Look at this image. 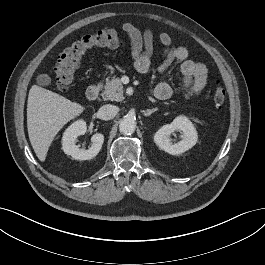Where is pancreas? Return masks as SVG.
<instances>
[{
    "label": "pancreas",
    "instance_id": "pancreas-1",
    "mask_svg": "<svg viewBox=\"0 0 265 265\" xmlns=\"http://www.w3.org/2000/svg\"><path fill=\"white\" fill-rule=\"evenodd\" d=\"M102 97L105 100L111 101H122L124 99L123 96V85L120 78L112 77L111 80L106 82L104 86V91L102 93Z\"/></svg>",
    "mask_w": 265,
    "mask_h": 265
}]
</instances>
